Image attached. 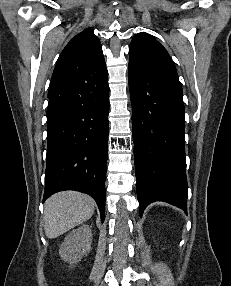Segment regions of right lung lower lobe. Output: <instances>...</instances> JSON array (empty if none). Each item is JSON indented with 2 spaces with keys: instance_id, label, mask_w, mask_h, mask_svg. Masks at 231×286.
<instances>
[{
  "instance_id": "obj_1",
  "label": "right lung lower lobe",
  "mask_w": 231,
  "mask_h": 286,
  "mask_svg": "<svg viewBox=\"0 0 231 286\" xmlns=\"http://www.w3.org/2000/svg\"><path fill=\"white\" fill-rule=\"evenodd\" d=\"M108 113L107 72L50 99L43 201L59 191H80L94 198L104 221Z\"/></svg>"
}]
</instances>
